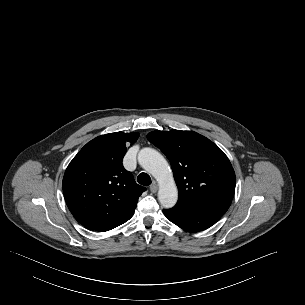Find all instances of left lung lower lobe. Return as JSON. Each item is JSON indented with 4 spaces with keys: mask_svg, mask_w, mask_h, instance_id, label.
Instances as JSON below:
<instances>
[{
    "mask_svg": "<svg viewBox=\"0 0 305 305\" xmlns=\"http://www.w3.org/2000/svg\"><path fill=\"white\" fill-rule=\"evenodd\" d=\"M163 213L172 223L191 232L202 231L211 227L224 214L223 212L188 213L173 209H164Z\"/></svg>",
    "mask_w": 305,
    "mask_h": 305,
    "instance_id": "0a47b994",
    "label": "left lung lower lobe"
}]
</instances>
